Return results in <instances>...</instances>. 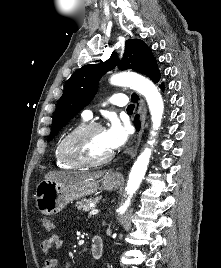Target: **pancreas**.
Returning <instances> with one entry per match:
<instances>
[{"label":"pancreas","instance_id":"pancreas-1","mask_svg":"<svg viewBox=\"0 0 221 268\" xmlns=\"http://www.w3.org/2000/svg\"><path fill=\"white\" fill-rule=\"evenodd\" d=\"M99 198H89V199H82L81 201L76 202V207L78 210L89 211L91 203H97Z\"/></svg>","mask_w":221,"mask_h":268}]
</instances>
